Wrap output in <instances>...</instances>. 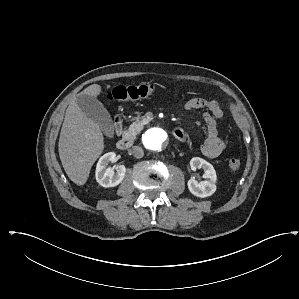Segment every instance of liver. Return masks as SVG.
<instances>
[{
  "label": "liver",
  "instance_id": "liver-1",
  "mask_svg": "<svg viewBox=\"0 0 299 299\" xmlns=\"http://www.w3.org/2000/svg\"><path fill=\"white\" fill-rule=\"evenodd\" d=\"M101 92L100 85L92 84L80 94L96 97ZM103 150L104 137L99 125L81 110L74 98L66 110L58 143L60 160L69 179L84 185Z\"/></svg>",
  "mask_w": 299,
  "mask_h": 299
}]
</instances>
